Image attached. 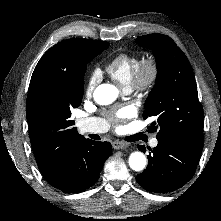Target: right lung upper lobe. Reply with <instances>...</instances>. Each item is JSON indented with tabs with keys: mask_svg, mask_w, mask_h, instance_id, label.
I'll return each mask as SVG.
<instances>
[{
	"mask_svg": "<svg viewBox=\"0 0 221 221\" xmlns=\"http://www.w3.org/2000/svg\"><path fill=\"white\" fill-rule=\"evenodd\" d=\"M88 40L72 38L57 43L42 56L31 77L26 116L34 156L47 181L61 176L66 157L86 138L73 127L71 113L57 107L47 115L42 104L46 98L56 96L64 80L77 75V54Z\"/></svg>",
	"mask_w": 221,
	"mask_h": 221,
	"instance_id": "right-lung-upper-lobe-1",
	"label": "right lung upper lobe"
}]
</instances>
